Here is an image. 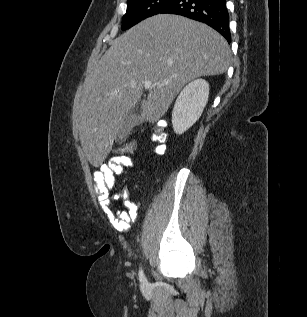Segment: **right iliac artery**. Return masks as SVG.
Segmentation results:
<instances>
[{
    "label": "right iliac artery",
    "instance_id": "obj_1",
    "mask_svg": "<svg viewBox=\"0 0 307 317\" xmlns=\"http://www.w3.org/2000/svg\"><path fill=\"white\" fill-rule=\"evenodd\" d=\"M139 279L142 283H145V281H146V277H145L142 269L139 270Z\"/></svg>",
    "mask_w": 307,
    "mask_h": 317
}]
</instances>
